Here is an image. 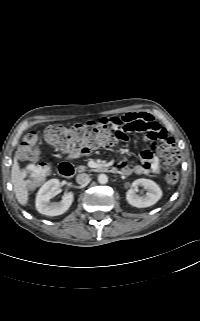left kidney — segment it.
<instances>
[{
	"label": "left kidney",
	"mask_w": 200,
	"mask_h": 321,
	"mask_svg": "<svg viewBox=\"0 0 200 321\" xmlns=\"http://www.w3.org/2000/svg\"><path fill=\"white\" fill-rule=\"evenodd\" d=\"M132 186H143L147 190V193L145 196H139L134 189H129L126 193V200L131 206L146 208L154 205L162 197V190L150 179H137L132 183Z\"/></svg>",
	"instance_id": "obj_1"
}]
</instances>
